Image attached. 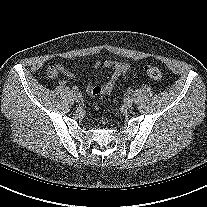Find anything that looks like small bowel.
Returning <instances> with one entry per match:
<instances>
[{
    "label": "small bowel",
    "mask_w": 207,
    "mask_h": 207,
    "mask_svg": "<svg viewBox=\"0 0 207 207\" xmlns=\"http://www.w3.org/2000/svg\"><path fill=\"white\" fill-rule=\"evenodd\" d=\"M93 67L95 69L104 68L111 72L105 82H96L86 86V92L92 97L110 94L118 79L121 76L126 75L130 70V65L127 62L114 60H106L104 62L96 61ZM60 73L69 78H74V73L63 67L61 64H55L48 69V75L52 78L57 77Z\"/></svg>",
    "instance_id": "c3829d8e"
}]
</instances>
